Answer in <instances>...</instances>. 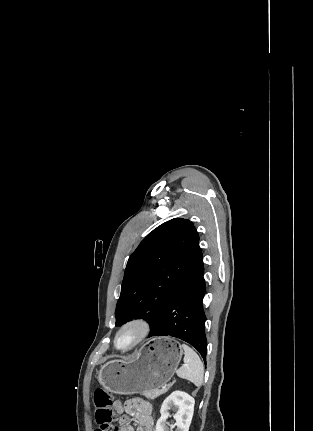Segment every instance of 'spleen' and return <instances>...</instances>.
<instances>
[{
	"label": "spleen",
	"mask_w": 313,
	"mask_h": 431,
	"mask_svg": "<svg viewBox=\"0 0 313 431\" xmlns=\"http://www.w3.org/2000/svg\"><path fill=\"white\" fill-rule=\"evenodd\" d=\"M184 350V365L177 370L178 377L192 382L200 387L203 384L204 366L197 353L186 344H182Z\"/></svg>",
	"instance_id": "1"
}]
</instances>
